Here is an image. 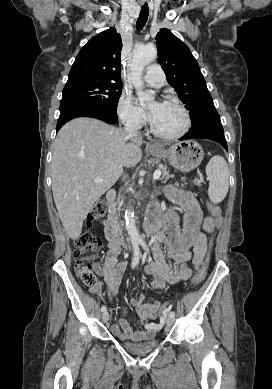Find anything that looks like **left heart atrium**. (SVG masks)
Listing matches in <instances>:
<instances>
[{
  "mask_svg": "<svg viewBox=\"0 0 272 389\" xmlns=\"http://www.w3.org/2000/svg\"><path fill=\"white\" fill-rule=\"evenodd\" d=\"M160 103L156 102L154 103L150 109H149V112H148V116H149V119L151 120L157 110V107L159 106Z\"/></svg>",
  "mask_w": 272,
  "mask_h": 389,
  "instance_id": "left-heart-atrium-1",
  "label": "left heart atrium"
}]
</instances>
